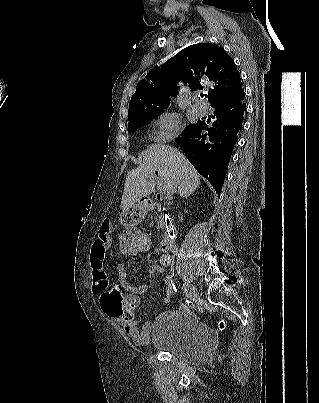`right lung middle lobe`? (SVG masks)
I'll return each instance as SVG.
<instances>
[{
    "instance_id": "1",
    "label": "right lung middle lobe",
    "mask_w": 319,
    "mask_h": 403,
    "mask_svg": "<svg viewBox=\"0 0 319 403\" xmlns=\"http://www.w3.org/2000/svg\"><path fill=\"white\" fill-rule=\"evenodd\" d=\"M168 106L169 105L153 109V110L149 111L148 113H146L145 115H143L135 120L130 121L128 124V132L132 133V132L136 131L138 128L149 124L151 122V120H153V118L162 114L164 112V109H166Z\"/></svg>"
}]
</instances>
